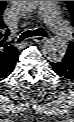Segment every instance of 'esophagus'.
Masks as SVG:
<instances>
[{
	"mask_svg": "<svg viewBox=\"0 0 74 122\" xmlns=\"http://www.w3.org/2000/svg\"><path fill=\"white\" fill-rule=\"evenodd\" d=\"M34 41L38 42V43H44V42L47 41V38L46 37H42V36H35L34 37Z\"/></svg>",
	"mask_w": 74,
	"mask_h": 122,
	"instance_id": "esophagus-1",
	"label": "esophagus"
}]
</instances>
